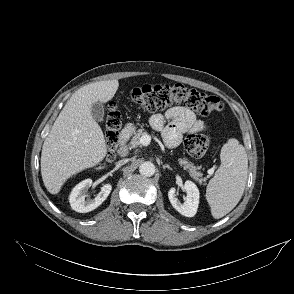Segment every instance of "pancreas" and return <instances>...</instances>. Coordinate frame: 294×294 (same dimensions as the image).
I'll return each instance as SVG.
<instances>
[{
	"label": "pancreas",
	"instance_id": "obj_1",
	"mask_svg": "<svg viewBox=\"0 0 294 294\" xmlns=\"http://www.w3.org/2000/svg\"><path fill=\"white\" fill-rule=\"evenodd\" d=\"M147 134L146 130L141 128L137 131H132L133 137L129 143V148H136L140 145V138ZM179 164L186 170L190 177L197 181L199 184H203L205 182V179L202 178V173L200 171H197L198 167L194 165V163L190 162L188 159L183 158L179 159Z\"/></svg>",
	"mask_w": 294,
	"mask_h": 294
}]
</instances>
